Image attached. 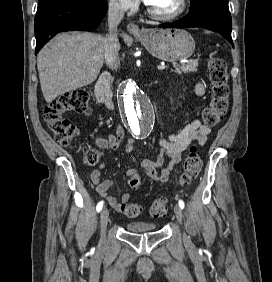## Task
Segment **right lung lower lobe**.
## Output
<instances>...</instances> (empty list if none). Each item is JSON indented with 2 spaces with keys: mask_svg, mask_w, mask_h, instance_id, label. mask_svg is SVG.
I'll list each match as a JSON object with an SVG mask.
<instances>
[{
  "mask_svg": "<svg viewBox=\"0 0 272 282\" xmlns=\"http://www.w3.org/2000/svg\"><path fill=\"white\" fill-rule=\"evenodd\" d=\"M106 12V0H40L35 17V52L60 32L94 30Z\"/></svg>",
  "mask_w": 272,
  "mask_h": 282,
  "instance_id": "98d812e1",
  "label": "right lung lower lobe"
}]
</instances>
